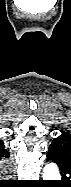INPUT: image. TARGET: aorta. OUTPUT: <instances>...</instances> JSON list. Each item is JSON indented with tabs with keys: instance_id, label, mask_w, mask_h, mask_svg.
Returning <instances> with one entry per match:
<instances>
[{
	"instance_id": "762f6f07",
	"label": "aorta",
	"mask_w": 71,
	"mask_h": 187,
	"mask_svg": "<svg viewBox=\"0 0 71 187\" xmlns=\"http://www.w3.org/2000/svg\"><path fill=\"white\" fill-rule=\"evenodd\" d=\"M61 176L56 164L48 163L43 170V180H60Z\"/></svg>"
}]
</instances>
